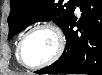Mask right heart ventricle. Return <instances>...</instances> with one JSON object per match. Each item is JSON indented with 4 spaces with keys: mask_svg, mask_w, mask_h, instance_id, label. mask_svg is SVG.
Returning a JSON list of instances; mask_svg holds the SVG:
<instances>
[{
    "mask_svg": "<svg viewBox=\"0 0 102 75\" xmlns=\"http://www.w3.org/2000/svg\"><path fill=\"white\" fill-rule=\"evenodd\" d=\"M17 48H18V43L16 44V57H17V59H18Z\"/></svg>",
    "mask_w": 102,
    "mask_h": 75,
    "instance_id": "right-heart-ventricle-1",
    "label": "right heart ventricle"
}]
</instances>
